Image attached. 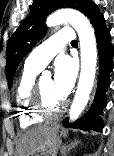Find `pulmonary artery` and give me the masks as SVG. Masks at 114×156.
Wrapping results in <instances>:
<instances>
[{
	"mask_svg": "<svg viewBox=\"0 0 114 156\" xmlns=\"http://www.w3.org/2000/svg\"><path fill=\"white\" fill-rule=\"evenodd\" d=\"M73 40H75L74 31L71 28H63L36 47L29 54L25 63L42 70L67 42Z\"/></svg>",
	"mask_w": 114,
	"mask_h": 156,
	"instance_id": "e3ab8cb5",
	"label": "pulmonary artery"
}]
</instances>
